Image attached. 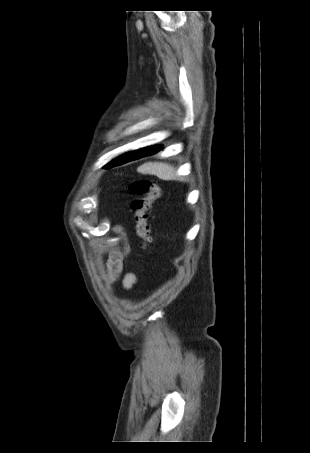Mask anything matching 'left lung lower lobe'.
I'll use <instances>...</instances> for the list:
<instances>
[{"mask_svg": "<svg viewBox=\"0 0 310 453\" xmlns=\"http://www.w3.org/2000/svg\"><path fill=\"white\" fill-rule=\"evenodd\" d=\"M161 149H162L161 146H153V147H147L144 149H140L139 152L133 156L132 160H136V159L148 156V155H153V154L159 152Z\"/></svg>", "mask_w": 310, "mask_h": 453, "instance_id": "1", "label": "left lung lower lobe"}]
</instances>
